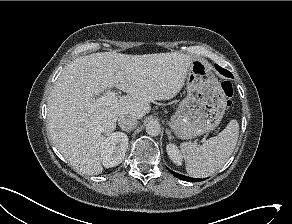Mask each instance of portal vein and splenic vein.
Returning <instances> with one entry per match:
<instances>
[{
    "instance_id": "obj_1",
    "label": "portal vein and splenic vein",
    "mask_w": 292,
    "mask_h": 224,
    "mask_svg": "<svg viewBox=\"0 0 292 224\" xmlns=\"http://www.w3.org/2000/svg\"><path fill=\"white\" fill-rule=\"evenodd\" d=\"M117 77L119 78V80H123V74L122 72H118ZM118 99L117 93L116 92H108L105 96L100 97L98 99L95 100L94 104L91 106V108H93L95 105L101 104V103H105V104H112L115 103Z\"/></svg>"
}]
</instances>
